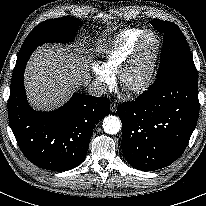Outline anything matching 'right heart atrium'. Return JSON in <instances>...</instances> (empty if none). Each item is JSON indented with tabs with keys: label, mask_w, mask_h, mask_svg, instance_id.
Here are the masks:
<instances>
[{
	"label": "right heart atrium",
	"mask_w": 206,
	"mask_h": 206,
	"mask_svg": "<svg viewBox=\"0 0 206 206\" xmlns=\"http://www.w3.org/2000/svg\"><path fill=\"white\" fill-rule=\"evenodd\" d=\"M92 71L96 76V80L100 89H104L107 86H111L113 84L114 78L106 73L99 65H93Z\"/></svg>",
	"instance_id": "obj_1"
}]
</instances>
